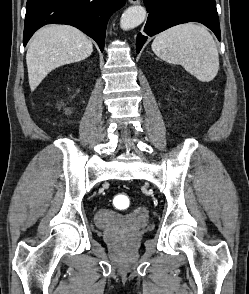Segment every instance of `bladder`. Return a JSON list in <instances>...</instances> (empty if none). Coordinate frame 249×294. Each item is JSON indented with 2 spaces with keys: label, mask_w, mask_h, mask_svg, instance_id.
<instances>
[{
  "label": "bladder",
  "mask_w": 249,
  "mask_h": 294,
  "mask_svg": "<svg viewBox=\"0 0 249 294\" xmlns=\"http://www.w3.org/2000/svg\"><path fill=\"white\" fill-rule=\"evenodd\" d=\"M119 219L111 216V215H106V216H103V215H98L97 216V221L101 222V223H104V225L106 227H110L111 225H113L115 222H117Z\"/></svg>",
  "instance_id": "obj_1"
}]
</instances>
